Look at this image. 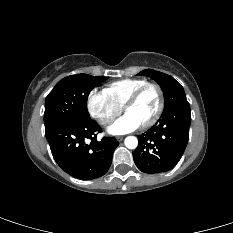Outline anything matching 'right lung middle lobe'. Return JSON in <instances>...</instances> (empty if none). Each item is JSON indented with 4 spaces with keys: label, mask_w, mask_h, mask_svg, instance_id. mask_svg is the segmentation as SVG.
I'll return each instance as SVG.
<instances>
[{
    "label": "right lung middle lobe",
    "mask_w": 233,
    "mask_h": 233,
    "mask_svg": "<svg viewBox=\"0 0 233 233\" xmlns=\"http://www.w3.org/2000/svg\"><path fill=\"white\" fill-rule=\"evenodd\" d=\"M108 77L76 74L60 80L45 100V130L65 122L90 118L87 98L90 91Z\"/></svg>",
    "instance_id": "1"
}]
</instances>
